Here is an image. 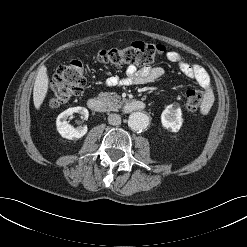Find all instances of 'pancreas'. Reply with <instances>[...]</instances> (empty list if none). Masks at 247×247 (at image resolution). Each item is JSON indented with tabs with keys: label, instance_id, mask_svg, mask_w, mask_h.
Masks as SVG:
<instances>
[{
	"label": "pancreas",
	"instance_id": "pancreas-1",
	"mask_svg": "<svg viewBox=\"0 0 247 247\" xmlns=\"http://www.w3.org/2000/svg\"><path fill=\"white\" fill-rule=\"evenodd\" d=\"M99 96L107 103L111 110H118L123 103L127 102L125 98L121 99V96L115 92H101Z\"/></svg>",
	"mask_w": 247,
	"mask_h": 247
}]
</instances>
